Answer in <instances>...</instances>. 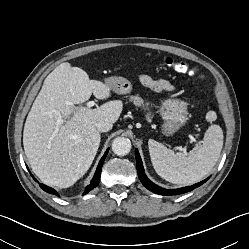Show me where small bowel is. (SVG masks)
<instances>
[{
  "mask_svg": "<svg viewBox=\"0 0 249 249\" xmlns=\"http://www.w3.org/2000/svg\"><path fill=\"white\" fill-rule=\"evenodd\" d=\"M140 82L148 89L154 92H170L173 90L172 84L162 78H154L146 74L139 76Z\"/></svg>",
  "mask_w": 249,
  "mask_h": 249,
  "instance_id": "c3829d8e",
  "label": "small bowel"
}]
</instances>
